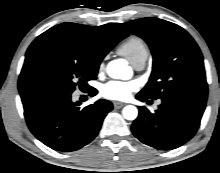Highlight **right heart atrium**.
<instances>
[{"label":"right heart atrium","mask_w":220,"mask_h":173,"mask_svg":"<svg viewBox=\"0 0 220 173\" xmlns=\"http://www.w3.org/2000/svg\"><path fill=\"white\" fill-rule=\"evenodd\" d=\"M102 67H103V64H101L100 68L102 69Z\"/></svg>","instance_id":"right-heart-atrium-1"}]
</instances>
